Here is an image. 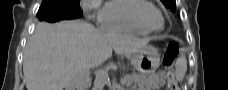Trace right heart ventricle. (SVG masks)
I'll use <instances>...</instances> for the list:
<instances>
[{
    "instance_id": "right-heart-ventricle-1",
    "label": "right heart ventricle",
    "mask_w": 228,
    "mask_h": 90,
    "mask_svg": "<svg viewBox=\"0 0 228 90\" xmlns=\"http://www.w3.org/2000/svg\"><path fill=\"white\" fill-rule=\"evenodd\" d=\"M144 0H110L103 8V26L108 30L146 35L149 33L135 19V10Z\"/></svg>"
}]
</instances>
